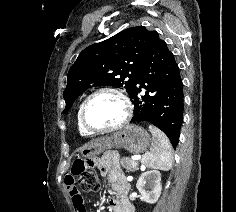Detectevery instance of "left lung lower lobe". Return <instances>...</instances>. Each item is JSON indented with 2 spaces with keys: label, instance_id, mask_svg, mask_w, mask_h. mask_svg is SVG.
I'll use <instances>...</instances> for the list:
<instances>
[{
  "label": "left lung lower lobe",
  "instance_id": "1",
  "mask_svg": "<svg viewBox=\"0 0 236 212\" xmlns=\"http://www.w3.org/2000/svg\"><path fill=\"white\" fill-rule=\"evenodd\" d=\"M142 88L146 90L144 95L140 94ZM130 99L134 104L131 122L152 123L169 137L175 148L183 122V83L173 53L156 31L151 33Z\"/></svg>",
  "mask_w": 236,
  "mask_h": 212
}]
</instances>
